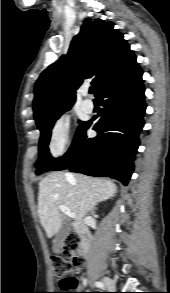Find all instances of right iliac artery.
Segmentation results:
<instances>
[{
	"instance_id": "82829eb1",
	"label": "right iliac artery",
	"mask_w": 170,
	"mask_h": 293,
	"mask_svg": "<svg viewBox=\"0 0 170 293\" xmlns=\"http://www.w3.org/2000/svg\"><path fill=\"white\" fill-rule=\"evenodd\" d=\"M95 286H97L99 288H102V289L105 288V285L102 282H100V281L95 282Z\"/></svg>"
}]
</instances>
